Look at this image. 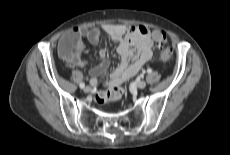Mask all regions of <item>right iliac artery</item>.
I'll use <instances>...</instances> for the list:
<instances>
[{
  "label": "right iliac artery",
  "mask_w": 230,
  "mask_h": 155,
  "mask_svg": "<svg viewBox=\"0 0 230 155\" xmlns=\"http://www.w3.org/2000/svg\"><path fill=\"white\" fill-rule=\"evenodd\" d=\"M79 86L81 89H83L85 87V84L81 82Z\"/></svg>",
  "instance_id": "82829eb1"
}]
</instances>
